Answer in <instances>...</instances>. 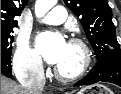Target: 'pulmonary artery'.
Here are the masks:
<instances>
[{
	"label": "pulmonary artery",
	"instance_id": "1",
	"mask_svg": "<svg viewBox=\"0 0 121 94\" xmlns=\"http://www.w3.org/2000/svg\"><path fill=\"white\" fill-rule=\"evenodd\" d=\"M67 18V10L62 6H55L46 16L40 21L46 24L59 25Z\"/></svg>",
	"mask_w": 121,
	"mask_h": 94
}]
</instances>
